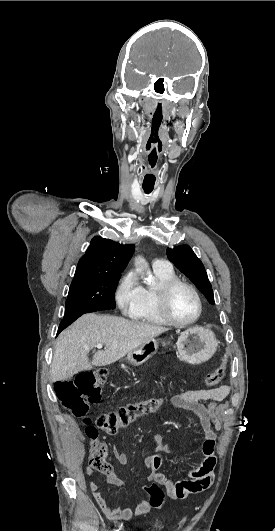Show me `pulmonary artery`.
<instances>
[{
    "mask_svg": "<svg viewBox=\"0 0 275 531\" xmlns=\"http://www.w3.org/2000/svg\"><path fill=\"white\" fill-rule=\"evenodd\" d=\"M152 269L154 272H169L170 263L169 261H154Z\"/></svg>",
    "mask_w": 275,
    "mask_h": 531,
    "instance_id": "1",
    "label": "pulmonary artery"
}]
</instances>
